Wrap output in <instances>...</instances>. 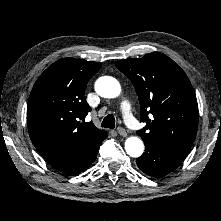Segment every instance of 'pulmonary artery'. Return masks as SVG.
<instances>
[{
    "label": "pulmonary artery",
    "instance_id": "pulmonary-artery-1",
    "mask_svg": "<svg viewBox=\"0 0 221 221\" xmlns=\"http://www.w3.org/2000/svg\"><path fill=\"white\" fill-rule=\"evenodd\" d=\"M121 111L124 117L125 122L127 125L132 128V129H137L138 128V122L134 118L132 112H131V106L130 103L127 100H123L121 102Z\"/></svg>",
    "mask_w": 221,
    "mask_h": 221
}]
</instances>
